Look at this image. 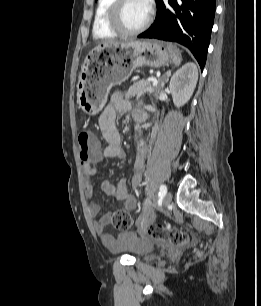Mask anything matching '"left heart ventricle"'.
<instances>
[{
    "instance_id": "obj_1",
    "label": "left heart ventricle",
    "mask_w": 261,
    "mask_h": 306,
    "mask_svg": "<svg viewBox=\"0 0 261 306\" xmlns=\"http://www.w3.org/2000/svg\"><path fill=\"white\" fill-rule=\"evenodd\" d=\"M147 13L148 5L144 0H127L123 6L121 17L127 28L135 29L145 21Z\"/></svg>"
}]
</instances>
